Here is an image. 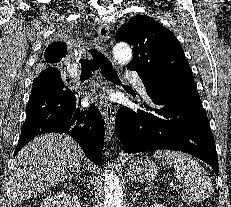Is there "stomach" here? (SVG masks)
<instances>
[{"label": "stomach", "instance_id": "0dacf381", "mask_svg": "<svg viewBox=\"0 0 231 207\" xmlns=\"http://www.w3.org/2000/svg\"><path fill=\"white\" fill-rule=\"evenodd\" d=\"M127 175L135 181L147 183L157 176V164L148 156L140 155L127 159Z\"/></svg>", "mask_w": 231, "mask_h": 207}]
</instances>
